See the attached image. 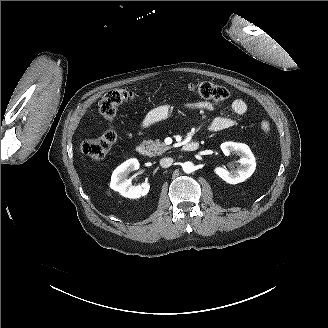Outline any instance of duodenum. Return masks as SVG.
<instances>
[{
  "label": "duodenum",
  "instance_id": "1",
  "mask_svg": "<svg viewBox=\"0 0 328 328\" xmlns=\"http://www.w3.org/2000/svg\"><path fill=\"white\" fill-rule=\"evenodd\" d=\"M199 147V143L197 141H189L183 144L182 150L185 152H193L197 150ZM136 151L141 156H147L148 155V149L144 144H139L136 147Z\"/></svg>",
  "mask_w": 328,
  "mask_h": 328
}]
</instances>
